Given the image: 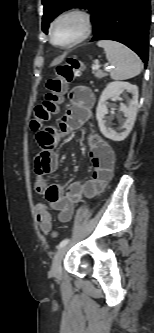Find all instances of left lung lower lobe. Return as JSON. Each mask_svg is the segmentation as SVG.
<instances>
[{
    "label": "left lung lower lobe",
    "mask_w": 154,
    "mask_h": 333,
    "mask_svg": "<svg viewBox=\"0 0 154 333\" xmlns=\"http://www.w3.org/2000/svg\"><path fill=\"white\" fill-rule=\"evenodd\" d=\"M91 17L94 37L91 41L114 40L148 60L150 0H98Z\"/></svg>",
    "instance_id": "left-lung-lower-lobe-1"
}]
</instances>
